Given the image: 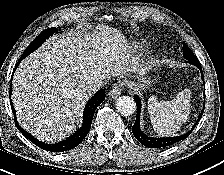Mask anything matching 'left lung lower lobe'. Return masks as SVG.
<instances>
[{"mask_svg": "<svg viewBox=\"0 0 224 175\" xmlns=\"http://www.w3.org/2000/svg\"><path fill=\"white\" fill-rule=\"evenodd\" d=\"M191 64V63H190ZM193 65L197 66L200 71H201V77L202 80L204 82V76H203V72L201 69V66L198 63H192ZM205 95V92H204ZM134 100L136 102L137 105V115H136V121L132 127V133L135 136V138L144 146L149 147V148H161V147H166V146H170L172 144H175L185 138H187L190 133L193 131L195 125L198 123V121L201 119L203 111L200 113L197 122L195 123V125L192 127V129L181 136H177V137H164V138H155V137H148L147 135H145L141 129H140V111H141V100L140 98L136 95L134 96Z\"/></svg>", "mask_w": 224, "mask_h": 175, "instance_id": "1", "label": "left lung lower lobe"}]
</instances>
